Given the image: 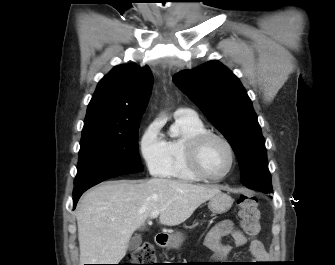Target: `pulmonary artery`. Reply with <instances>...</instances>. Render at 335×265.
<instances>
[{"label": "pulmonary artery", "instance_id": "obj_1", "mask_svg": "<svg viewBox=\"0 0 335 265\" xmlns=\"http://www.w3.org/2000/svg\"><path fill=\"white\" fill-rule=\"evenodd\" d=\"M175 117H184V118H190V119H196L198 118L197 113L189 108H179L174 113Z\"/></svg>", "mask_w": 335, "mask_h": 265}]
</instances>
